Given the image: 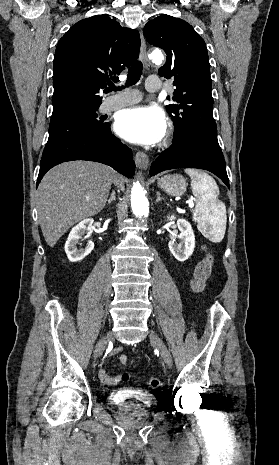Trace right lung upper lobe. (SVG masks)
<instances>
[{"label":"right lung upper lobe","instance_id":"cb5924a9","mask_svg":"<svg viewBox=\"0 0 279 465\" xmlns=\"http://www.w3.org/2000/svg\"><path fill=\"white\" fill-rule=\"evenodd\" d=\"M138 31L103 15L83 19L60 39L53 66L50 125L99 108L100 90L137 58Z\"/></svg>","mask_w":279,"mask_h":465}]
</instances>
